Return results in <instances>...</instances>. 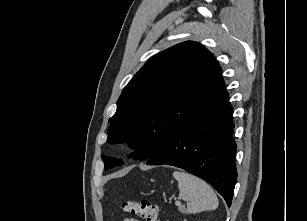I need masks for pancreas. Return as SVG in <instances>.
<instances>
[{"label": "pancreas", "mask_w": 307, "mask_h": 221, "mask_svg": "<svg viewBox=\"0 0 307 221\" xmlns=\"http://www.w3.org/2000/svg\"><path fill=\"white\" fill-rule=\"evenodd\" d=\"M179 211H180L181 213H184V212H185V208H184V207H179Z\"/></svg>", "instance_id": "1"}]
</instances>
